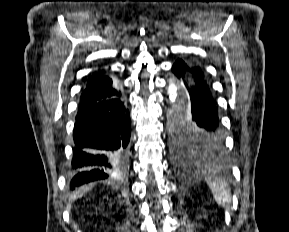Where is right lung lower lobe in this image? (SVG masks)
Wrapping results in <instances>:
<instances>
[{
  "instance_id": "right-lung-lower-lobe-1",
  "label": "right lung lower lobe",
  "mask_w": 289,
  "mask_h": 232,
  "mask_svg": "<svg viewBox=\"0 0 289 232\" xmlns=\"http://www.w3.org/2000/svg\"><path fill=\"white\" fill-rule=\"evenodd\" d=\"M121 92L111 98L80 103L74 126L71 188L108 178L124 160L130 140V116Z\"/></svg>"
}]
</instances>
